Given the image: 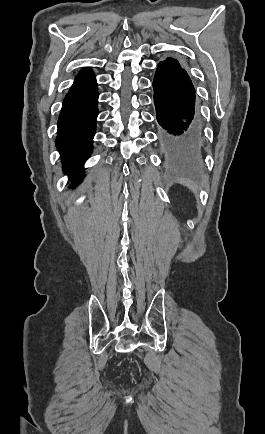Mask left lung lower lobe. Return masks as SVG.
I'll list each match as a JSON object with an SVG mask.
<instances>
[{
    "label": "left lung lower lobe",
    "mask_w": 265,
    "mask_h": 434,
    "mask_svg": "<svg viewBox=\"0 0 265 434\" xmlns=\"http://www.w3.org/2000/svg\"><path fill=\"white\" fill-rule=\"evenodd\" d=\"M154 104L161 147L173 154H198L205 145L195 108V89L183 65L174 58L158 63L153 81Z\"/></svg>",
    "instance_id": "0a47b994"
}]
</instances>
